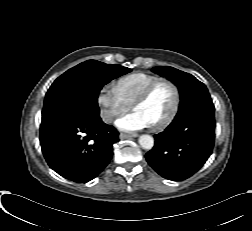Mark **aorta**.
Returning a JSON list of instances; mask_svg holds the SVG:
<instances>
[{
	"label": "aorta",
	"mask_w": 252,
	"mask_h": 231,
	"mask_svg": "<svg viewBox=\"0 0 252 231\" xmlns=\"http://www.w3.org/2000/svg\"><path fill=\"white\" fill-rule=\"evenodd\" d=\"M138 142H139L140 146L146 150H150L154 146V139L151 135H148V134L141 135L139 137Z\"/></svg>",
	"instance_id": "aorta-1"
}]
</instances>
